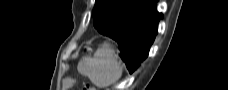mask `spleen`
I'll use <instances>...</instances> for the list:
<instances>
[{"mask_svg": "<svg viewBox=\"0 0 228 90\" xmlns=\"http://www.w3.org/2000/svg\"><path fill=\"white\" fill-rule=\"evenodd\" d=\"M80 72L99 88L116 83L123 69L115 57L114 50L108 44L99 48L93 57L86 58Z\"/></svg>", "mask_w": 228, "mask_h": 90, "instance_id": "1", "label": "spleen"}]
</instances>
